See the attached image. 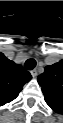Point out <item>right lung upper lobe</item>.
Returning a JSON list of instances; mask_svg holds the SVG:
<instances>
[{"instance_id": "right-lung-upper-lobe-1", "label": "right lung upper lobe", "mask_w": 63, "mask_h": 123, "mask_svg": "<svg viewBox=\"0 0 63 123\" xmlns=\"http://www.w3.org/2000/svg\"><path fill=\"white\" fill-rule=\"evenodd\" d=\"M31 75L21 65L3 56L0 74V99L3 104L15 99Z\"/></svg>"}]
</instances>
